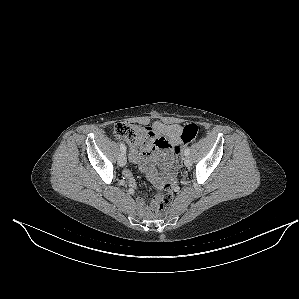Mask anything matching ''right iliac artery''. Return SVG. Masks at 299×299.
<instances>
[{"mask_svg": "<svg viewBox=\"0 0 299 299\" xmlns=\"http://www.w3.org/2000/svg\"><path fill=\"white\" fill-rule=\"evenodd\" d=\"M120 149H121V152L122 153H126V147H125V144L124 143H120Z\"/></svg>", "mask_w": 299, "mask_h": 299, "instance_id": "obj_1", "label": "right iliac artery"}]
</instances>
